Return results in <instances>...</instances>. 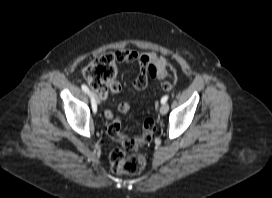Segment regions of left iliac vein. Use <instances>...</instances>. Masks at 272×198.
<instances>
[{
    "mask_svg": "<svg viewBox=\"0 0 272 198\" xmlns=\"http://www.w3.org/2000/svg\"><path fill=\"white\" fill-rule=\"evenodd\" d=\"M169 110V106L168 104H162L161 107H160V114L161 115H165Z\"/></svg>",
    "mask_w": 272,
    "mask_h": 198,
    "instance_id": "obj_1",
    "label": "left iliac vein"
}]
</instances>
